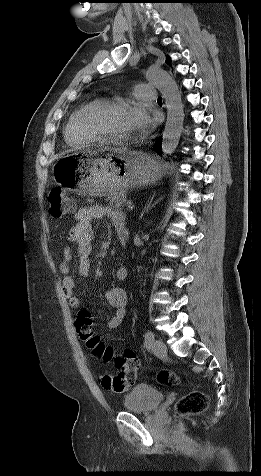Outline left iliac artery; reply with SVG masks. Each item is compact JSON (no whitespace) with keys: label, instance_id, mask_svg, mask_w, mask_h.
I'll return each mask as SVG.
<instances>
[{"label":"left iliac artery","instance_id":"left-iliac-artery-1","mask_svg":"<svg viewBox=\"0 0 261 476\" xmlns=\"http://www.w3.org/2000/svg\"><path fill=\"white\" fill-rule=\"evenodd\" d=\"M144 337H145L144 346H145L146 348H147V347L149 348V347L151 346V344L153 343V341H154V334H153L152 331H149V330H148V331L145 333V336H144Z\"/></svg>","mask_w":261,"mask_h":476}]
</instances>
